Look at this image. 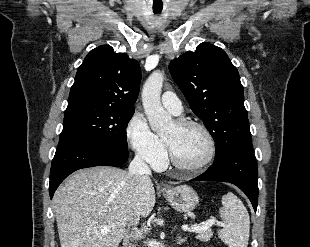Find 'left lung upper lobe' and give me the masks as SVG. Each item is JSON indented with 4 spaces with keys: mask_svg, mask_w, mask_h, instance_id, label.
Listing matches in <instances>:
<instances>
[{
    "mask_svg": "<svg viewBox=\"0 0 310 247\" xmlns=\"http://www.w3.org/2000/svg\"><path fill=\"white\" fill-rule=\"evenodd\" d=\"M171 75L216 144L215 160L251 143L239 73L223 49L197 46L169 64Z\"/></svg>",
    "mask_w": 310,
    "mask_h": 247,
    "instance_id": "left-lung-upper-lobe-1",
    "label": "left lung upper lobe"
}]
</instances>
